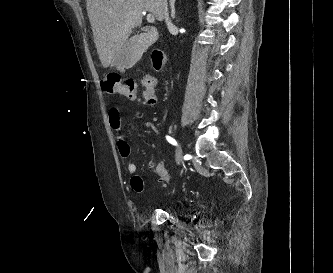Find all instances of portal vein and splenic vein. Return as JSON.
<instances>
[{
  "mask_svg": "<svg viewBox=\"0 0 333 273\" xmlns=\"http://www.w3.org/2000/svg\"><path fill=\"white\" fill-rule=\"evenodd\" d=\"M146 20H147L148 23H154L155 17H154L153 14H147Z\"/></svg>",
  "mask_w": 333,
  "mask_h": 273,
  "instance_id": "1",
  "label": "portal vein and splenic vein"
}]
</instances>
